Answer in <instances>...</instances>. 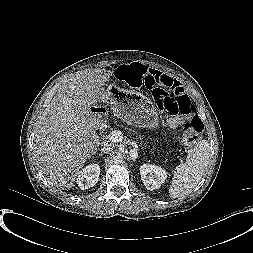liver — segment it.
Here are the masks:
<instances>
[{"label": "liver", "mask_w": 253, "mask_h": 253, "mask_svg": "<svg viewBox=\"0 0 253 253\" xmlns=\"http://www.w3.org/2000/svg\"><path fill=\"white\" fill-rule=\"evenodd\" d=\"M112 71L85 69L59 86L36 125L33 150L41 171L55 185L70 189L100 140L94 129L91 106L104 94Z\"/></svg>", "instance_id": "1"}]
</instances>
